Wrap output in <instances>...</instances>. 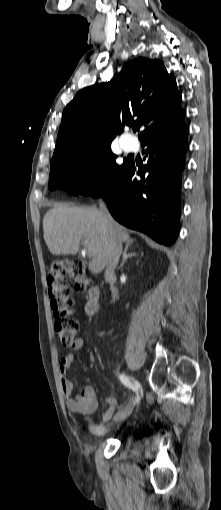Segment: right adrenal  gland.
Here are the masks:
<instances>
[{"label": "right adrenal gland", "instance_id": "right-adrenal-gland-1", "mask_svg": "<svg viewBox=\"0 0 221 510\" xmlns=\"http://www.w3.org/2000/svg\"><path fill=\"white\" fill-rule=\"evenodd\" d=\"M131 246H132V243H126V245H125V249H124V251H123V257H122V262H121V264H120V267H122V266L124 265L125 261H126L128 258H131V257H133V256H136V255H137V253H135V252L128 253V250H129V248H130Z\"/></svg>", "mask_w": 221, "mask_h": 510}]
</instances>
